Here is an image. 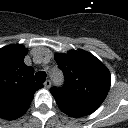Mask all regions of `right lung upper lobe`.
<instances>
[{
    "label": "right lung upper lobe",
    "mask_w": 128,
    "mask_h": 128,
    "mask_svg": "<svg viewBox=\"0 0 128 128\" xmlns=\"http://www.w3.org/2000/svg\"><path fill=\"white\" fill-rule=\"evenodd\" d=\"M28 50L21 44L0 49V117L16 119L26 112L36 90L43 87L33 79V68L26 66Z\"/></svg>",
    "instance_id": "right-lung-upper-lobe-1"
}]
</instances>
